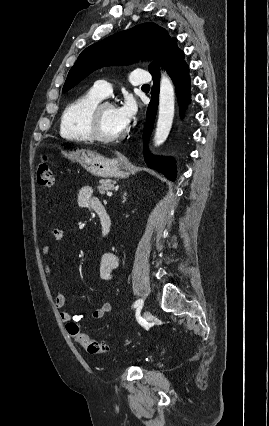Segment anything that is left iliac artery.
<instances>
[{"label": "left iliac artery", "mask_w": 269, "mask_h": 426, "mask_svg": "<svg viewBox=\"0 0 269 426\" xmlns=\"http://www.w3.org/2000/svg\"><path fill=\"white\" fill-rule=\"evenodd\" d=\"M142 306H143V300L142 299H138L133 305L134 308H142Z\"/></svg>", "instance_id": "obj_1"}]
</instances>
